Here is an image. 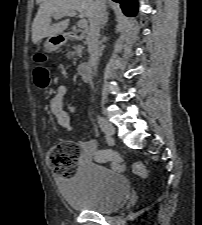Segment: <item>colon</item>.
Returning a JSON list of instances; mask_svg holds the SVG:
<instances>
[{
	"label": "colon",
	"instance_id": "1",
	"mask_svg": "<svg viewBox=\"0 0 202 225\" xmlns=\"http://www.w3.org/2000/svg\"><path fill=\"white\" fill-rule=\"evenodd\" d=\"M40 65L35 69V83L39 88H44L47 84L49 71L41 65L45 60L43 55L39 57ZM80 150L77 144L73 141H64L57 146L50 147L47 151V163L55 174L61 178L72 176L78 165ZM104 160L109 161L111 166L116 171H122L125 167L123 159L115 152H108L104 155ZM132 169L141 178L148 175V169L144 162H134Z\"/></svg>",
	"mask_w": 202,
	"mask_h": 225
}]
</instances>
